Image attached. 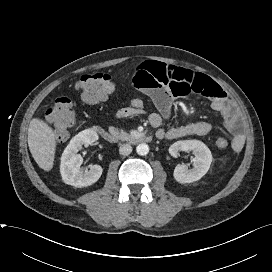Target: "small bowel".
<instances>
[{
    "label": "small bowel",
    "instance_id": "small-bowel-1",
    "mask_svg": "<svg viewBox=\"0 0 272 272\" xmlns=\"http://www.w3.org/2000/svg\"><path fill=\"white\" fill-rule=\"evenodd\" d=\"M132 83L148 95L158 109V112L148 115L150 125L156 129L157 138L172 140L192 135L203 136L212 130L213 126L208 121L187 123L169 129L161 128L162 119L171 118L173 99L195 92L207 97L211 108L223 116L225 126L233 136L232 148L240 151L244 147L246 138L236 106L223 88L209 77L174 65L147 61L134 70ZM143 113V110L127 106L119 109L116 117L125 119Z\"/></svg>",
    "mask_w": 272,
    "mask_h": 272
}]
</instances>
